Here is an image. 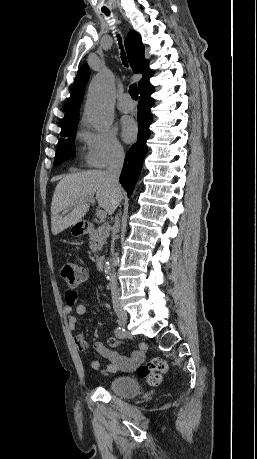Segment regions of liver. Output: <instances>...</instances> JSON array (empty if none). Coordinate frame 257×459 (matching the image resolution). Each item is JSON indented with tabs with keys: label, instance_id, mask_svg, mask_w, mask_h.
<instances>
[{
	"label": "liver",
	"instance_id": "1",
	"mask_svg": "<svg viewBox=\"0 0 257 459\" xmlns=\"http://www.w3.org/2000/svg\"><path fill=\"white\" fill-rule=\"evenodd\" d=\"M96 199L105 213L112 214L116 209L118 196L113 192L109 179L102 170H88L69 174L62 178L54 191L51 202V231L57 235L68 227L77 224L89 210L88 199ZM67 213V214H66ZM66 214L65 216H63Z\"/></svg>",
	"mask_w": 257,
	"mask_h": 459
}]
</instances>
